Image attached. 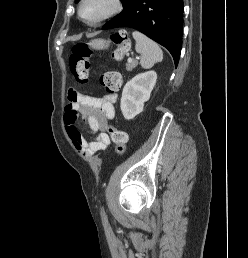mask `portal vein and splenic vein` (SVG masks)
I'll use <instances>...</instances> for the list:
<instances>
[{"mask_svg": "<svg viewBox=\"0 0 248 258\" xmlns=\"http://www.w3.org/2000/svg\"><path fill=\"white\" fill-rule=\"evenodd\" d=\"M128 62H132V59H131V58H128Z\"/></svg>", "mask_w": 248, "mask_h": 258, "instance_id": "portal-vein-and-splenic-vein-1", "label": "portal vein and splenic vein"}]
</instances>
